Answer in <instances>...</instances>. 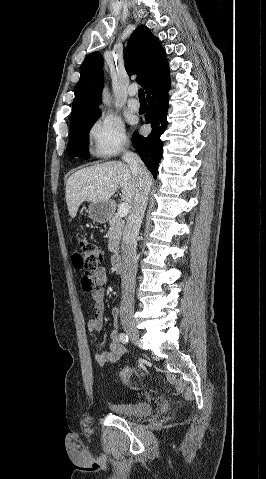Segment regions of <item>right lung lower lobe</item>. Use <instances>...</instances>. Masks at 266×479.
Segmentation results:
<instances>
[{
    "mask_svg": "<svg viewBox=\"0 0 266 479\" xmlns=\"http://www.w3.org/2000/svg\"><path fill=\"white\" fill-rule=\"evenodd\" d=\"M169 89L170 80L168 78L147 93L148 112L145 115V120L147 124H151L152 131L147 137L140 136L137 132L133 134L134 147L154 178H156L162 155L163 142L160 140V136L167 127Z\"/></svg>",
    "mask_w": 266,
    "mask_h": 479,
    "instance_id": "obj_1",
    "label": "right lung lower lobe"
}]
</instances>
